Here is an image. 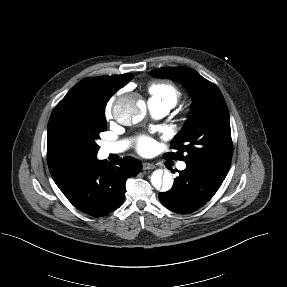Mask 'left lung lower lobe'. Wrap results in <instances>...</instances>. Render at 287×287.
<instances>
[{"label": "left lung lower lobe", "instance_id": "0a47b994", "mask_svg": "<svg viewBox=\"0 0 287 287\" xmlns=\"http://www.w3.org/2000/svg\"><path fill=\"white\" fill-rule=\"evenodd\" d=\"M186 165L185 170L178 171L179 176L173 187L167 192L159 193L161 203L179 214L191 213L204 206L224 180L203 167Z\"/></svg>", "mask_w": 287, "mask_h": 287}]
</instances>
